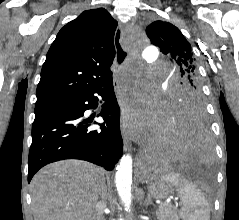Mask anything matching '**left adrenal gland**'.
<instances>
[{"label": "left adrenal gland", "mask_w": 239, "mask_h": 220, "mask_svg": "<svg viewBox=\"0 0 239 220\" xmlns=\"http://www.w3.org/2000/svg\"><path fill=\"white\" fill-rule=\"evenodd\" d=\"M145 207H148L149 205H152L151 197L148 195V197L145 199Z\"/></svg>", "instance_id": "obj_1"}]
</instances>
